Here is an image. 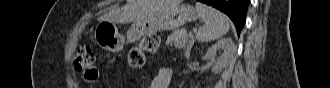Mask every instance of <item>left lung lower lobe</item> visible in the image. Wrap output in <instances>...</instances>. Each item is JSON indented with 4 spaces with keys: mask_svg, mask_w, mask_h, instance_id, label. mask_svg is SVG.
<instances>
[{
    "mask_svg": "<svg viewBox=\"0 0 330 88\" xmlns=\"http://www.w3.org/2000/svg\"><path fill=\"white\" fill-rule=\"evenodd\" d=\"M211 5L227 14L234 22L238 36L246 20L247 7L250 0H198Z\"/></svg>",
    "mask_w": 330,
    "mask_h": 88,
    "instance_id": "1",
    "label": "left lung lower lobe"
}]
</instances>
